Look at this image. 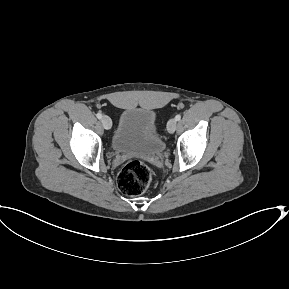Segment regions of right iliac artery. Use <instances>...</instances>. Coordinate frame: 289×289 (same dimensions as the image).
<instances>
[{
    "instance_id": "1",
    "label": "right iliac artery",
    "mask_w": 289,
    "mask_h": 289,
    "mask_svg": "<svg viewBox=\"0 0 289 289\" xmlns=\"http://www.w3.org/2000/svg\"><path fill=\"white\" fill-rule=\"evenodd\" d=\"M96 116H97L98 119H101V118H102V114H101L100 112H98V113L96 114Z\"/></svg>"
}]
</instances>
